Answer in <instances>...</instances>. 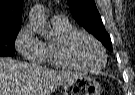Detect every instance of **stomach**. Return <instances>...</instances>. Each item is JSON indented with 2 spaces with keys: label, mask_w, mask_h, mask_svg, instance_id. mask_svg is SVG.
<instances>
[{
  "label": "stomach",
  "mask_w": 135,
  "mask_h": 95,
  "mask_svg": "<svg viewBox=\"0 0 135 95\" xmlns=\"http://www.w3.org/2000/svg\"><path fill=\"white\" fill-rule=\"evenodd\" d=\"M101 87L94 78L80 75L64 83L63 95H100Z\"/></svg>",
  "instance_id": "obj_1"
}]
</instances>
